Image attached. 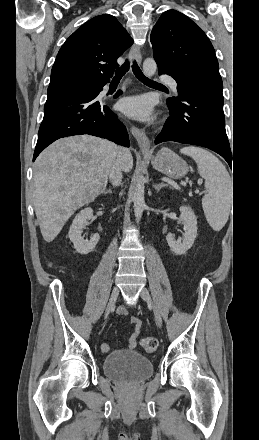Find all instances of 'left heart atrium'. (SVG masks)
I'll return each instance as SVG.
<instances>
[{
    "instance_id": "obj_1",
    "label": "left heart atrium",
    "mask_w": 259,
    "mask_h": 440,
    "mask_svg": "<svg viewBox=\"0 0 259 440\" xmlns=\"http://www.w3.org/2000/svg\"><path fill=\"white\" fill-rule=\"evenodd\" d=\"M118 106L125 114L141 120L150 119L153 113L152 102L144 95L124 98Z\"/></svg>"
}]
</instances>
